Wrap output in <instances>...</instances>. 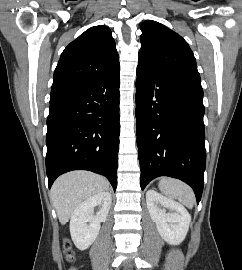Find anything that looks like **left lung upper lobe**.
Listing matches in <instances>:
<instances>
[{
  "label": "left lung upper lobe",
  "mask_w": 242,
  "mask_h": 270,
  "mask_svg": "<svg viewBox=\"0 0 242 270\" xmlns=\"http://www.w3.org/2000/svg\"><path fill=\"white\" fill-rule=\"evenodd\" d=\"M141 31L138 66L203 90L193 52L180 35L156 21H145Z\"/></svg>",
  "instance_id": "obj_1"
}]
</instances>
